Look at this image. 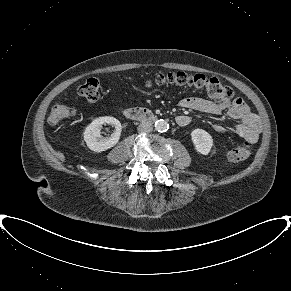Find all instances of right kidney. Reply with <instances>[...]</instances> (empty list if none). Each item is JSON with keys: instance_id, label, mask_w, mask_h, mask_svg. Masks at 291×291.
Segmentation results:
<instances>
[{"instance_id": "ca27d5eb", "label": "right kidney", "mask_w": 291, "mask_h": 291, "mask_svg": "<svg viewBox=\"0 0 291 291\" xmlns=\"http://www.w3.org/2000/svg\"><path fill=\"white\" fill-rule=\"evenodd\" d=\"M105 123L115 127L114 133L109 138L101 137V127ZM121 130V123L116 118L110 116L99 117L86 127L84 131V140L88 148L92 151H106L118 143Z\"/></svg>"}]
</instances>
